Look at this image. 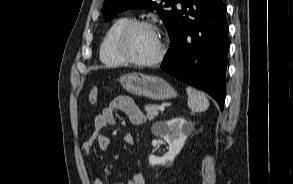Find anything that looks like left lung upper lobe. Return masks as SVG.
I'll return each instance as SVG.
<instances>
[{"instance_id": "obj_1", "label": "left lung upper lobe", "mask_w": 293, "mask_h": 184, "mask_svg": "<svg viewBox=\"0 0 293 184\" xmlns=\"http://www.w3.org/2000/svg\"><path fill=\"white\" fill-rule=\"evenodd\" d=\"M179 0H161L157 3L152 0H106L103 7V16L107 21L112 20L118 13L127 9H147L159 14L166 29L172 24L175 6Z\"/></svg>"}]
</instances>
